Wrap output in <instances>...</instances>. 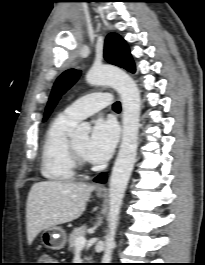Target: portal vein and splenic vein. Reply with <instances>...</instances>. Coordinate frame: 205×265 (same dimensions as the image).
Instances as JSON below:
<instances>
[{"label": "portal vein and splenic vein", "instance_id": "portal-vein-and-splenic-vein-1", "mask_svg": "<svg viewBox=\"0 0 205 265\" xmlns=\"http://www.w3.org/2000/svg\"><path fill=\"white\" fill-rule=\"evenodd\" d=\"M76 247H83L86 244V238L84 236H80L75 241Z\"/></svg>", "mask_w": 205, "mask_h": 265}]
</instances>
